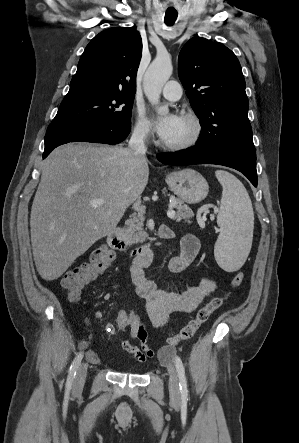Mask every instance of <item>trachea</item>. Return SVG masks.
<instances>
[{"label":"trachea","instance_id":"obj_1","mask_svg":"<svg viewBox=\"0 0 299 443\" xmlns=\"http://www.w3.org/2000/svg\"><path fill=\"white\" fill-rule=\"evenodd\" d=\"M177 19V14L174 12H166L165 14V23L168 26H172Z\"/></svg>","mask_w":299,"mask_h":443}]
</instances>
